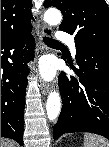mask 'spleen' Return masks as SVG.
I'll use <instances>...</instances> for the list:
<instances>
[{
	"label": "spleen",
	"instance_id": "3e777b00",
	"mask_svg": "<svg viewBox=\"0 0 109 147\" xmlns=\"http://www.w3.org/2000/svg\"><path fill=\"white\" fill-rule=\"evenodd\" d=\"M84 147H109V141L95 134L84 135Z\"/></svg>",
	"mask_w": 109,
	"mask_h": 147
}]
</instances>
